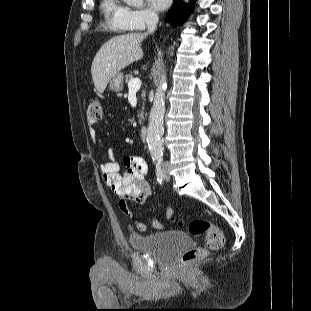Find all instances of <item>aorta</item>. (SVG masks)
Returning a JSON list of instances; mask_svg holds the SVG:
<instances>
[{"instance_id":"762f6f07","label":"aorta","mask_w":311,"mask_h":311,"mask_svg":"<svg viewBox=\"0 0 311 311\" xmlns=\"http://www.w3.org/2000/svg\"><path fill=\"white\" fill-rule=\"evenodd\" d=\"M128 5L140 6L143 0H124ZM167 89V77L163 73L157 87L153 106L149 115V123L147 127V144L150 154L154 159H161L163 155V140L164 133L163 117L165 114V91Z\"/></svg>"}]
</instances>
